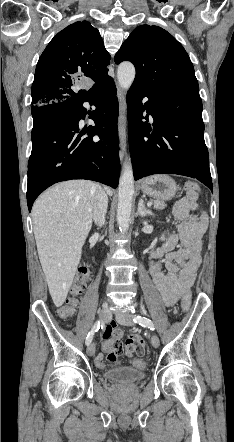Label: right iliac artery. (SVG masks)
I'll return each mask as SVG.
<instances>
[{
    "label": "right iliac artery",
    "instance_id": "right-iliac-artery-1",
    "mask_svg": "<svg viewBox=\"0 0 234 442\" xmlns=\"http://www.w3.org/2000/svg\"><path fill=\"white\" fill-rule=\"evenodd\" d=\"M100 326H102L100 321H97L93 325L92 329L90 330V332L87 335L86 345H89L91 343L94 333L97 332L100 329Z\"/></svg>",
    "mask_w": 234,
    "mask_h": 442
}]
</instances>
